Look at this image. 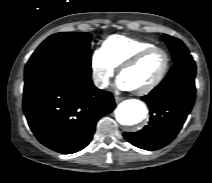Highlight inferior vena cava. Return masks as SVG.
Masks as SVG:
<instances>
[{"label": "inferior vena cava", "instance_id": "inferior-vena-cava-1", "mask_svg": "<svg viewBox=\"0 0 212 183\" xmlns=\"http://www.w3.org/2000/svg\"><path fill=\"white\" fill-rule=\"evenodd\" d=\"M94 84L98 87V88H104L107 83L104 81L103 77H99V76H96L94 78Z\"/></svg>", "mask_w": 212, "mask_h": 183}]
</instances>
